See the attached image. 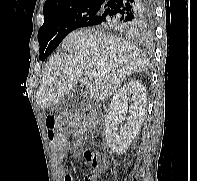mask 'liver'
<instances>
[{"mask_svg":"<svg viewBox=\"0 0 197 181\" xmlns=\"http://www.w3.org/2000/svg\"><path fill=\"white\" fill-rule=\"evenodd\" d=\"M61 46L67 53L54 55L45 67L36 96L41 108L56 105L78 82L93 99L105 100L127 76L150 67L149 60L133 43L103 31L72 32ZM85 71L97 72L99 76L89 82L83 77Z\"/></svg>","mask_w":197,"mask_h":181,"instance_id":"1","label":"liver"}]
</instances>
